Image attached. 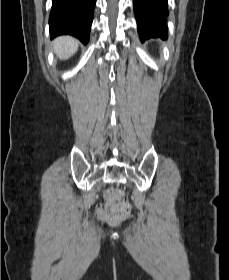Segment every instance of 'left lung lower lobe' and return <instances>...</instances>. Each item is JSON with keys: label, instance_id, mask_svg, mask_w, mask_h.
Returning <instances> with one entry per match:
<instances>
[{"label": "left lung lower lobe", "instance_id": "0a47b994", "mask_svg": "<svg viewBox=\"0 0 229 280\" xmlns=\"http://www.w3.org/2000/svg\"><path fill=\"white\" fill-rule=\"evenodd\" d=\"M133 6L142 41L150 37L167 38V0H133Z\"/></svg>", "mask_w": 229, "mask_h": 280}]
</instances>
